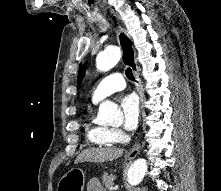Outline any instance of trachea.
Wrapping results in <instances>:
<instances>
[{
    "label": "trachea",
    "mask_w": 221,
    "mask_h": 191,
    "mask_svg": "<svg viewBox=\"0 0 221 191\" xmlns=\"http://www.w3.org/2000/svg\"><path fill=\"white\" fill-rule=\"evenodd\" d=\"M125 74H126V76L129 80L133 81L135 79L134 76H133L132 70L130 68L126 69Z\"/></svg>",
    "instance_id": "3493384b"
}]
</instances>
